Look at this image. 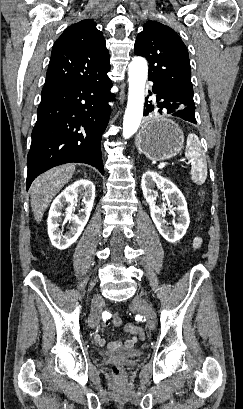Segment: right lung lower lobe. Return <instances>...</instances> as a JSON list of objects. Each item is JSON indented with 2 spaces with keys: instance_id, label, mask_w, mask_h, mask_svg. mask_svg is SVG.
I'll return each instance as SVG.
<instances>
[{
  "instance_id": "right-lung-lower-lobe-1",
  "label": "right lung lower lobe",
  "mask_w": 243,
  "mask_h": 409,
  "mask_svg": "<svg viewBox=\"0 0 243 409\" xmlns=\"http://www.w3.org/2000/svg\"><path fill=\"white\" fill-rule=\"evenodd\" d=\"M111 80L44 87L27 158L26 189L46 170L69 162L86 163L104 174L101 136L110 115Z\"/></svg>"
}]
</instances>
